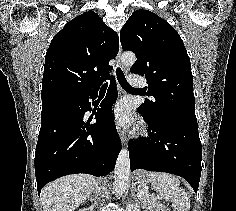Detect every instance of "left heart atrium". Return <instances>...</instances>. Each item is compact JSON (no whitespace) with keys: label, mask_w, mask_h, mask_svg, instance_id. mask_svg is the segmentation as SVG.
<instances>
[{"label":"left heart atrium","mask_w":236,"mask_h":211,"mask_svg":"<svg viewBox=\"0 0 236 211\" xmlns=\"http://www.w3.org/2000/svg\"><path fill=\"white\" fill-rule=\"evenodd\" d=\"M114 115L121 123L127 124L131 122V111L126 101H120L114 107Z\"/></svg>","instance_id":"39dd6f15"}]
</instances>
